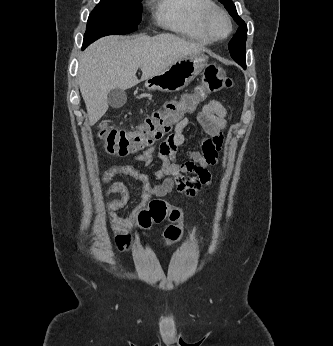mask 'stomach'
Returning a JSON list of instances; mask_svg holds the SVG:
<instances>
[{"label": "stomach", "mask_w": 333, "mask_h": 346, "mask_svg": "<svg viewBox=\"0 0 333 346\" xmlns=\"http://www.w3.org/2000/svg\"><path fill=\"white\" fill-rule=\"evenodd\" d=\"M207 61L208 57L202 52L186 56L161 73L146 79L145 87L162 92L179 91L199 75L207 65Z\"/></svg>", "instance_id": "stomach-1"}]
</instances>
